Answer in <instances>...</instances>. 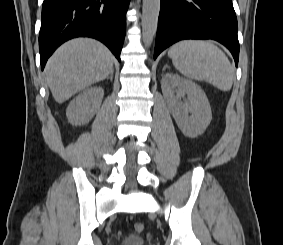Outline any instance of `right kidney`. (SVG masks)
Returning a JSON list of instances; mask_svg holds the SVG:
<instances>
[{"label":"right kidney","instance_id":"1","mask_svg":"<svg viewBox=\"0 0 283 245\" xmlns=\"http://www.w3.org/2000/svg\"><path fill=\"white\" fill-rule=\"evenodd\" d=\"M103 95L102 87H91L81 92L67 107L68 121L72 125L88 123L100 108Z\"/></svg>","mask_w":283,"mask_h":245}]
</instances>
